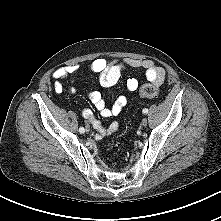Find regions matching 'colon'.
I'll return each instance as SVG.
<instances>
[{
    "mask_svg": "<svg viewBox=\"0 0 221 221\" xmlns=\"http://www.w3.org/2000/svg\"><path fill=\"white\" fill-rule=\"evenodd\" d=\"M158 87L153 84H145L140 87L139 94L144 98H155L158 96Z\"/></svg>",
    "mask_w": 221,
    "mask_h": 221,
    "instance_id": "5ec220e1",
    "label": "colon"
}]
</instances>
